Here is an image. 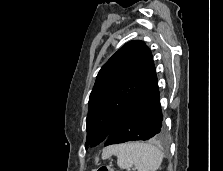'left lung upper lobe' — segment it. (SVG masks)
<instances>
[{"instance_id":"1","label":"left lung upper lobe","mask_w":223,"mask_h":171,"mask_svg":"<svg viewBox=\"0 0 223 171\" xmlns=\"http://www.w3.org/2000/svg\"><path fill=\"white\" fill-rule=\"evenodd\" d=\"M154 69L151 51L140 40L126 43L102 66L89 97L86 148L105 142Z\"/></svg>"}]
</instances>
